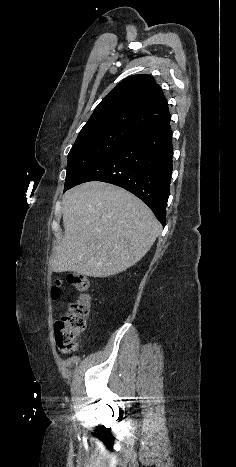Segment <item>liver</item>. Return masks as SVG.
<instances>
[{
    "mask_svg": "<svg viewBox=\"0 0 236 467\" xmlns=\"http://www.w3.org/2000/svg\"><path fill=\"white\" fill-rule=\"evenodd\" d=\"M64 236L50 260L54 272L109 277L150 250L161 225L139 198L118 186L88 182L62 199Z\"/></svg>",
    "mask_w": 236,
    "mask_h": 467,
    "instance_id": "1",
    "label": "liver"
}]
</instances>
